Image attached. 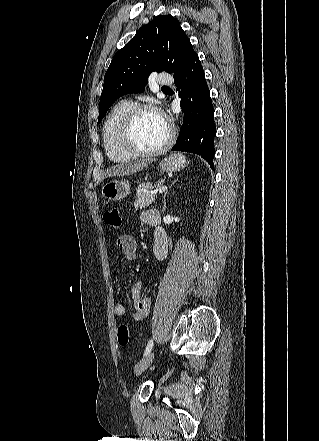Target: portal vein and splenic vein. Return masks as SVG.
Returning a JSON list of instances; mask_svg holds the SVG:
<instances>
[{
	"label": "portal vein and splenic vein",
	"instance_id": "obj_1",
	"mask_svg": "<svg viewBox=\"0 0 319 441\" xmlns=\"http://www.w3.org/2000/svg\"><path fill=\"white\" fill-rule=\"evenodd\" d=\"M167 190V186H162L161 188H159L157 191H159V193H163Z\"/></svg>",
	"mask_w": 319,
	"mask_h": 441
}]
</instances>
